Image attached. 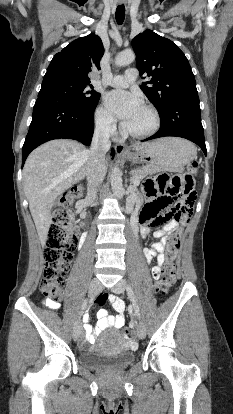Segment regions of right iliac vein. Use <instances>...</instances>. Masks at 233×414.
Returning a JSON list of instances; mask_svg holds the SVG:
<instances>
[{
  "label": "right iliac vein",
  "mask_w": 233,
  "mask_h": 414,
  "mask_svg": "<svg viewBox=\"0 0 233 414\" xmlns=\"http://www.w3.org/2000/svg\"><path fill=\"white\" fill-rule=\"evenodd\" d=\"M101 290V284L97 278L91 280L89 285V294L91 296L97 295ZM82 324L81 321H76L73 326L72 336L74 340H77L81 334Z\"/></svg>",
  "instance_id": "obj_1"
}]
</instances>
